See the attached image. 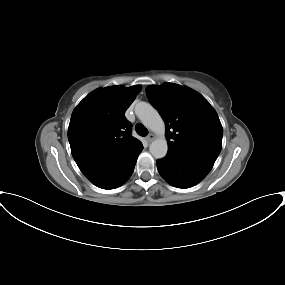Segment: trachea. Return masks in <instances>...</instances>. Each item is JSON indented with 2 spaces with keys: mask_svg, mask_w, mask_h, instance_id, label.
I'll use <instances>...</instances> for the list:
<instances>
[{
  "mask_svg": "<svg viewBox=\"0 0 285 285\" xmlns=\"http://www.w3.org/2000/svg\"><path fill=\"white\" fill-rule=\"evenodd\" d=\"M135 130L140 136H146L148 134L147 128L141 123L136 124Z\"/></svg>",
  "mask_w": 285,
  "mask_h": 285,
  "instance_id": "obj_1",
  "label": "trachea"
}]
</instances>
